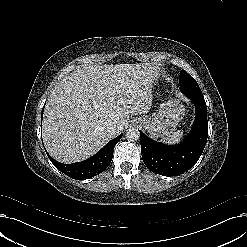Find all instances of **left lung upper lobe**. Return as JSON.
<instances>
[{
    "label": "left lung upper lobe",
    "instance_id": "1",
    "mask_svg": "<svg viewBox=\"0 0 247 247\" xmlns=\"http://www.w3.org/2000/svg\"><path fill=\"white\" fill-rule=\"evenodd\" d=\"M180 87H186L191 85H197L196 80L191 77L185 70H181L179 78Z\"/></svg>",
    "mask_w": 247,
    "mask_h": 247
}]
</instances>
